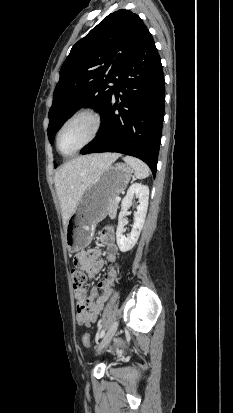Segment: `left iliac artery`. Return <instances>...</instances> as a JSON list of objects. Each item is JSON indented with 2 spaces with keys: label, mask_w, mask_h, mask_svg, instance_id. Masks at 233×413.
Listing matches in <instances>:
<instances>
[{
  "label": "left iliac artery",
  "mask_w": 233,
  "mask_h": 413,
  "mask_svg": "<svg viewBox=\"0 0 233 413\" xmlns=\"http://www.w3.org/2000/svg\"><path fill=\"white\" fill-rule=\"evenodd\" d=\"M104 334H105V331L102 330V331L100 332V334H99V337L102 338V337L104 336Z\"/></svg>",
  "instance_id": "left-iliac-artery-1"
}]
</instances>
